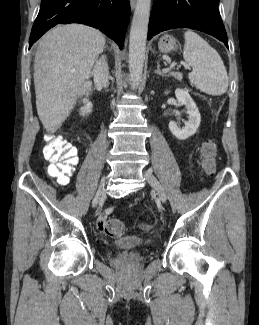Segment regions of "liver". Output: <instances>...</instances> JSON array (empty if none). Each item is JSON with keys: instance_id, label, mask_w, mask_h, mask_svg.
<instances>
[{"instance_id": "6515ba94", "label": "liver", "mask_w": 259, "mask_h": 325, "mask_svg": "<svg viewBox=\"0 0 259 325\" xmlns=\"http://www.w3.org/2000/svg\"><path fill=\"white\" fill-rule=\"evenodd\" d=\"M104 46V35L82 24L59 25L40 40L34 85L37 113L47 133H55L77 98L89 94L88 79Z\"/></svg>"}]
</instances>
